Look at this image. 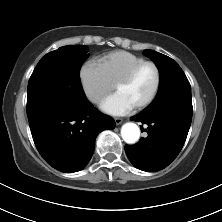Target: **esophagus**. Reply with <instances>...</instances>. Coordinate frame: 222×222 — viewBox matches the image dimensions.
<instances>
[{
    "label": "esophagus",
    "mask_w": 222,
    "mask_h": 222,
    "mask_svg": "<svg viewBox=\"0 0 222 222\" xmlns=\"http://www.w3.org/2000/svg\"><path fill=\"white\" fill-rule=\"evenodd\" d=\"M114 121H115L116 125H120L123 122V119L115 118Z\"/></svg>",
    "instance_id": "esophagus-1"
}]
</instances>
